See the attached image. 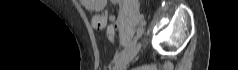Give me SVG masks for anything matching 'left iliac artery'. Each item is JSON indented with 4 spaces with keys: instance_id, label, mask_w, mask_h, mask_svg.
I'll use <instances>...</instances> for the list:
<instances>
[{
    "instance_id": "1",
    "label": "left iliac artery",
    "mask_w": 238,
    "mask_h": 70,
    "mask_svg": "<svg viewBox=\"0 0 238 70\" xmlns=\"http://www.w3.org/2000/svg\"><path fill=\"white\" fill-rule=\"evenodd\" d=\"M142 34V29H138L137 31V35L138 37L141 36ZM135 37L134 41H131L126 48H123V50L121 52H119L118 54H116L113 58V63L118 62L121 58H123L129 51L134 50L135 46H136V42L139 41V38Z\"/></svg>"
}]
</instances>
